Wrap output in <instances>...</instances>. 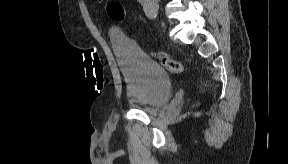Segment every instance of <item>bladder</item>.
<instances>
[{
  "label": "bladder",
  "instance_id": "31cf9c89",
  "mask_svg": "<svg viewBox=\"0 0 288 164\" xmlns=\"http://www.w3.org/2000/svg\"><path fill=\"white\" fill-rule=\"evenodd\" d=\"M112 43L133 106L145 113H154L164 107L172 96L166 71L122 36L113 34Z\"/></svg>",
  "mask_w": 288,
  "mask_h": 164
}]
</instances>
